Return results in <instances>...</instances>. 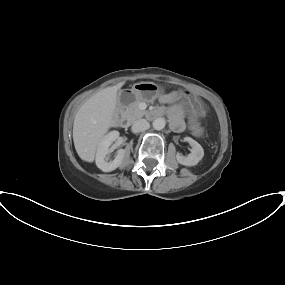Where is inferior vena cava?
Segmentation results:
<instances>
[{
	"instance_id": "inferior-vena-cava-1",
	"label": "inferior vena cava",
	"mask_w": 285,
	"mask_h": 285,
	"mask_svg": "<svg viewBox=\"0 0 285 285\" xmlns=\"http://www.w3.org/2000/svg\"><path fill=\"white\" fill-rule=\"evenodd\" d=\"M149 128V122L145 119H139L132 124L131 130L133 133L145 131Z\"/></svg>"
}]
</instances>
